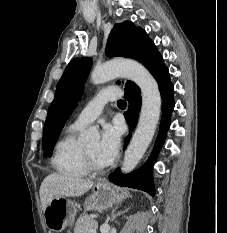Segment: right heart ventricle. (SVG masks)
I'll list each match as a JSON object with an SVG mask.
<instances>
[{
    "label": "right heart ventricle",
    "instance_id": "1",
    "mask_svg": "<svg viewBox=\"0 0 227 233\" xmlns=\"http://www.w3.org/2000/svg\"><path fill=\"white\" fill-rule=\"evenodd\" d=\"M79 131L80 128L69 126L54 149L51 164L64 177L82 178L88 173L83 159V146L78 139Z\"/></svg>",
    "mask_w": 227,
    "mask_h": 233
}]
</instances>
